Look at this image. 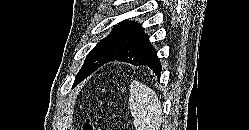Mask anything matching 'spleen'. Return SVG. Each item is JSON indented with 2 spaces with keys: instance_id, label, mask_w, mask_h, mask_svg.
<instances>
[{
  "instance_id": "3e777b00",
  "label": "spleen",
  "mask_w": 249,
  "mask_h": 130,
  "mask_svg": "<svg viewBox=\"0 0 249 130\" xmlns=\"http://www.w3.org/2000/svg\"><path fill=\"white\" fill-rule=\"evenodd\" d=\"M129 102L136 130H160L162 108L154 90L135 81L130 87Z\"/></svg>"
}]
</instances>
